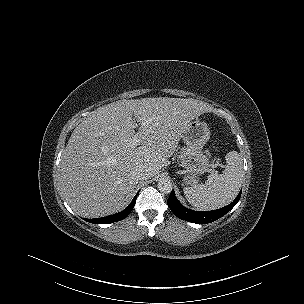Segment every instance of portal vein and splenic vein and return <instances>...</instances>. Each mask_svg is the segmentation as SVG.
<instances>
[{
    "label": "portal vein and splenic vein",
    "mask_w": 304,
    "mask_h": 304,
    "mask_svg": "<svg viewBox=\"0 0 304 304\" xmlns=\"http://www.w3.org/2000/svg\"><path fill=\"white\" fill-rule=\"evenodd\" d=\"M140 142H141V140H140L138 134L134 135V137H133V139L131 141V144L133 146H138L140 144Z\"/></svg>",
    "instance_id": "obj_1"
}]
</instances>
